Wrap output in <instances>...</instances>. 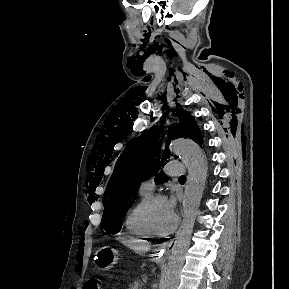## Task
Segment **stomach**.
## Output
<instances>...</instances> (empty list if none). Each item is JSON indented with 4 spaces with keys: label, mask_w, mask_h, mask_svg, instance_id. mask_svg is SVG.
I'll list each match as a JSON object with an SVG mask.
<instances>
[{
    "label": "stomach",
    "mask_w": 289,
    "mask_h": 289,
    "mask_svg": "<svg viewBox=\"0 0 289 289\" xmlns=\"http://www.w3.org/2000/svg\"><path fill=\"white\" fill-rule=\"evenodd\" d=\"M118 256L119 254L117 250L105 246L97 251L95 256V262L101 270H109L114 266V264L117 263Z\"/></svg>",
    "instance_id": "0dacf381"
}]
</instances>
